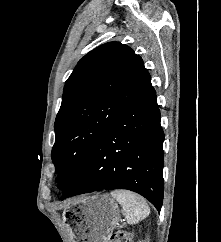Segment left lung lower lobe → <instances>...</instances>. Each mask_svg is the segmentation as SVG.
<instances>
[{
    "label": "left lung lower lobe",
    "instance_id": "obj_1",
    "mask_svg": "<svg viewBox=\"0 0 221 242\" xmlns=\"http://www.w3.org/2000/svg\"><path fill=\"white\" fill-rule=\"evenodd\" d=\"M163 140L156 92L151 86L102 134L82 176L61 200L104 189H128L160 211Z\"/></svg>",
    "mask_w": 221,
    "mask_h": 242
}]
</instances>
